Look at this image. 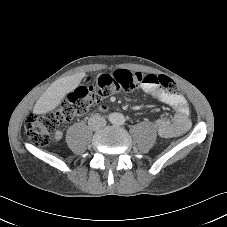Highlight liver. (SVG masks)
I'll list each match as a JSON object with an SVG mask.
<instances>
[{"mask_svg":"<svg viewBox=\"0 0 227 227\" xmlns=\"http://www.w3.org/2000/svg\"><path fill=\"white\" fill-rule=\"evenodd\" d=\"M85 76L86 73L81 72L54 81L37 100L33 113L44 114L54 110L67 93L72 92L78 87Z\"/></svg>","mask_w":227,"mask_h":227,"instance_id":"1","label":"liver"}]
</instances>
